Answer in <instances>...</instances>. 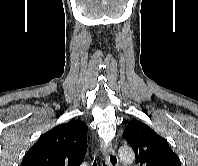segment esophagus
<instances>
[{"label":"esophagus","instance_id":"obj_1","mask_svg":"<svg viewBox=\"0 0 198 166\" xmlns=\"http://www.w3.org/2000/svg\"><path fill=\"white\" fill-rule=\"evenodd\" d=\"M99 145L101 148L104 146V143L101 139H99ZM106 164H107V166H118L119 165V159H118L114 149L112 148L111 144L107 148Z\"/></svg>","mask_w":198,"mask_h":166}]
</instances>
